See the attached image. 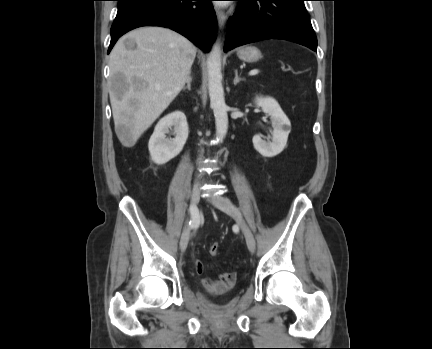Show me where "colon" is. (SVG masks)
<instances>
[{"label":"colon","mask_w":432,"mask_h":349,"mask_svg":"<svg viewBox=\"0 0 432 349\" xmlns=\"http://www.w3.org/2000/svg\"><path fill=\"white\" fill-rule=\"evenodd\" d=\"M219 251V245L218 243H212L209 247V253L211 256H216L218 254Z\"/></svg>","instance_id":"5ec220e1"}]
</instances>
